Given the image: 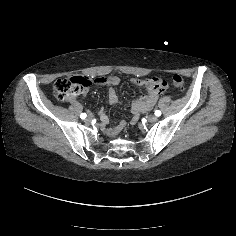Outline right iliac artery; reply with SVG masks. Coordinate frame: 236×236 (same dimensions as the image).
<instances>
[{
  "instance_id": "1",
  "label": "right iliac artery",
  "mask_w": 236,
  "mask_h": 236,
  "mask_svg": "<svg viewBox=\"0 0 236 236\" xmlns=\"http://www.w3.org/2000/svg\"><path fill=\"white\" fill-rule=\"evenodd\" d=\"M86 116H87L86 113H81L80 118H81V119H85Z\"/></svg>"
}]
</instances>
